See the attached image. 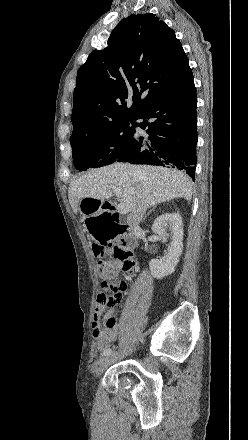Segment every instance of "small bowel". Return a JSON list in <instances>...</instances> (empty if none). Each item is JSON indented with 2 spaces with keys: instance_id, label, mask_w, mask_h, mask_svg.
Returning <instances> with one entry per match:
<instances>
[{
  "instance_id": "1",
  "label": "small bowel",
  "mask_w": 248,
  "mask_h": 440,
  "mask_svg": "<svg viewBox=\"0 0 248 440\" xmlns=\"http://www.w3.org/2000/svg\"><path fill=\"white\" fill-rule=\"evenodd\" d=\"M104 310L105 309L96 306L92 321L93 335L96 339V347L99 351H105L106 349H108L110 344L117 338L119 331L112 309L107 310L106 328H102L100 319ZM109 318H112L114 320L113 325L107 324V319Z\"/></svg>"
}]
</instances>
